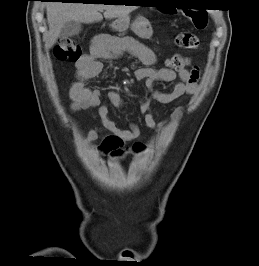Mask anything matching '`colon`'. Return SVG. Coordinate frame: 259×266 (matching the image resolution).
I'll list each match as a JSON object with an SVG mask.
<instances>
[{
    "label": "colon",
    "instance_id": "colon-1",
    "mask_svg": "<svg viewBox=\"0 0 259 266\" xmlns=\"http://www.w3.org/2000/svg\"><path fill=\"white\" fill-rule=\"evenodd\" d=\"M184 15L191 21L194 28L204 30L208 24V17L205 12L186 11ZM177 43L189 50H196L199 47V38L191 32H183L178 35ZM54 55L58 60L77 62L81 56L80 46L71 38H61L54 48ZM190 64L187 57L174 55L167 59V66L171 70L180 71ZM143 146L139 143L134 145L136 151L142 150Z\"/></svg>",
    "mask_w": 259,
    "mask_h": 266
}]
</instances>
